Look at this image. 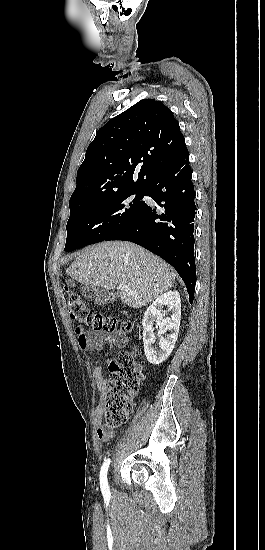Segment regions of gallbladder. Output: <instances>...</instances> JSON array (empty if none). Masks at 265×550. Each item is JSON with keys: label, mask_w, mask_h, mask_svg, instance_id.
I'll use <instances>...</instances> for the list:
<instances>
[{"label": "gallbladder", "mask_w": 265, "mask_h": 550, "mask_svg": "<svg viewBox=\"0 0 265 550\" xmlns=\"http://www.w3.org/2000/svg\"><path fill=\"white\" fill-rule=\"evenodd\" d=\"M68 284L70 285V287L74 286L71 281H69ZM81 294L87 300L93 302L96 305H105L108 302H115L117 300L116 294H113L103 288L88 285H84L81 287Z\"/></svg>", "instance_id": "gallbladder-1"}]
</instances>
